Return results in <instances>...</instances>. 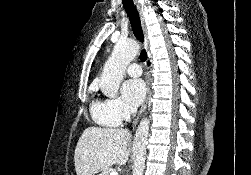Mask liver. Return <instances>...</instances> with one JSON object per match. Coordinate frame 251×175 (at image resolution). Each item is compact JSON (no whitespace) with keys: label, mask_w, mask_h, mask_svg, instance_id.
<instances>
[{"label":"liver","mask_w":251,"mask_h":175,"mask_svg":"<svg viewBox=\"0 0 251 175\" xmlns=\"http://www.w3.org/2000/svg\"><path fill=\"white\" fill-rule=\"evenodd\" d=\"M129 129L86 127L77 141L74 153L77 175H95L114 163L125 165L129 159Z\"/></svg>","instance_id":"1"}]
</instances>
